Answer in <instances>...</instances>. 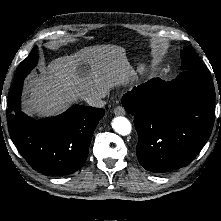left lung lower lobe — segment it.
I'll use <instances>...</instances> for the list:
<instances>
[{
    "label": "left lung lower lobe",
    "instance_id": "1",
    "mask_svg": "<svg viewBox=\"0 0 221 221\" xmlns=\"http://www.w3.org/2000/svg\"><path fill=\"white\" fill-rule=\"evenodd\" d=\"M214 103L212 80L191 70L175 81L152 79L127 92L122 105L135 117L140 164L154 173L188 165L211 134Z\"/></svg>",
    "mask_w": 221,
    "mask_h": 221
}]
</instances>
